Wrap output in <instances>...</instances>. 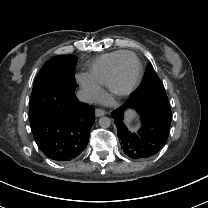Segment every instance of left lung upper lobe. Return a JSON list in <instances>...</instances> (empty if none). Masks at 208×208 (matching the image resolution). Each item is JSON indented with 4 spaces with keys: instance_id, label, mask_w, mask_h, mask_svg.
<instances>
[{
    "instance_id": "left-lung-upper-lobe-1",
    "label": "left lung upper lobe",
    "mask_w": 208,
    "mask_h": 208,
    "mask_svg": "<svg viewBox=\"0 0 208 208\" xmlns=\"http://www.w3.org/2000/svg\"><path fill=\"white\" fill-rule=\"evenodd\" d=\"M130 96L156 100L169 106L165 88L152 65H149L147 74L142 84Z\"/></svg>"
}]
</instances>
